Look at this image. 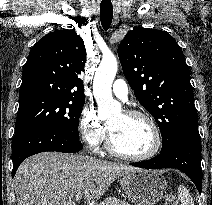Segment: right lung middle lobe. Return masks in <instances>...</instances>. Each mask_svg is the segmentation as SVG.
Segmentation results:
<instances>
[{"label": "right lung middle lobe", "mask_w": 212, "mask_h": 205, "mask_svg": "<svg viewBox=\"0 0 212 205\" xmlns=\"http://www.w3.org/2000/svg\"><path fill=\"white\" fill-rule=\"evenodd\" d=\"M85 100L34 96L20 100L15 133L45 127L79 139L78 123Z\"/></svg>", "instance_id": "1"}]
</instances>
